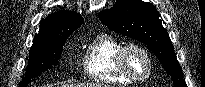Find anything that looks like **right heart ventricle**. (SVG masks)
Returning a JSON list of instances; mask_svg holds the SVG:
<instances>
[{
	"label": "right heart ventricle",
	"mask_w": 205,
	"mask_h": 87,
	"mask_svg": "<svg viewBox=\"0 0 205 87\" xmlns=\"http://www.w3.org/2000/svg\"><path fill=\"white\" fill-rule=\"evenodd\" d=\"M124 43L109 34H99L86 46L83 66L89 79L103 84L129 85L118 70L116 56Z\"/></svg>",
	"instance_id": "e07e8e85"
}]
</instances>
